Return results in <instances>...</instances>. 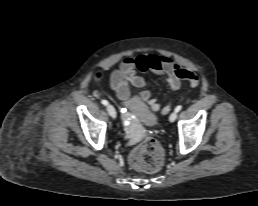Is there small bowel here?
<instances>
[{
	"label": "small bowel",
	"instance_id": "obj_1",
	"mask_svg": "<svg viewBox=\"0 0 258 206\" xmlns=\"http://www.w3.org/2000/svg\"><path fill=\"white\" fill-rule=\"evenodd\" d=\"M152 72L163 77L170 88L177 91L181 88L183 81H195L198 84V77L190 70L184 68L172 59L162 55H141L136 58L125 57L110 75V87L118 98L125 100L130 94V86L143 88L146 85L145 79L138 72ZM141 98L147 102L152 110L158 111L161 104L151 97L148 90L141 93ZM170 106L163 108L167 113Z\"/></svg>",
	"mask_w": 258,
	"mask_h": 206
}]
</instances>
